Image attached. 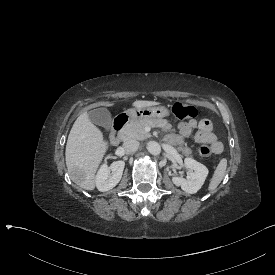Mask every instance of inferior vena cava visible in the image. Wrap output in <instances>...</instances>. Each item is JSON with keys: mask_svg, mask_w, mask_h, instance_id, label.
I'll use <instances>...</instances> for the list:
<instances>
[{"mask_svg": "<svg viewBox=\"0 0 275 275\" xmlns=\"http://www.w3.org/2000/svg\"><path fill=\"white\" fill-rule=\"evenodd\" d=\"M122 148L126 153H135L139 148V142L137 140H127L123 143Z\"/></svg>", "mask_w": 275, "mask_h": 275, "instance_id": "602c4592", "label": "inferior vena cava"}]
</instances>
